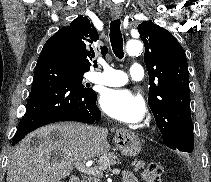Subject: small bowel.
Listing matches in <instances>:
<instances>
[{
	"label": "small bowel",
	"mask_w": 211,
	"mask_h": 182,
	"mask_svg": "<svg viewBox=\"0 0 211 182\" xmlns=\"http://www.w3.org/2000/svg\"><path fill=\"white\" fill-rule=\"evenodd\" d=\"M123 182H138L137 178L131 172L123 173Z\"/></svg>",
	"instance_id": "obj_1"
}]
</instances>
